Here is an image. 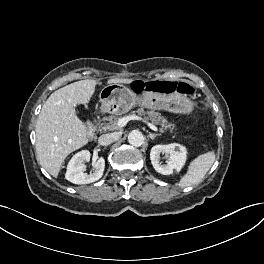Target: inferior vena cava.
<instances>
[{"instance_id":"obj_1","label":"inferior vena cava","mask_w":264,"mask_h":264,"mask_svg":"<svg viewBox=\"0 0 264 264\" xmlns=\"http://www.w3.org/2000/svg\"><path fill=\"white\" fill-rule=\"evenodd\" d=\"M116 140H117V136L114 133H107L99 137L98 143L102 146H107Z\"/></svg>"}]
</instances>
